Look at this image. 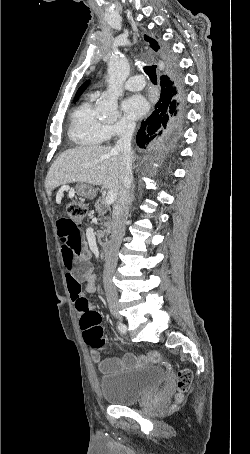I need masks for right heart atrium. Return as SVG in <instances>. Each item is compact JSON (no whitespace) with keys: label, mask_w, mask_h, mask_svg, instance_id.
I'll use <instances>...</instances> for the list:
<instances>
[{"label":"right heart atrium","mask_w":250,"mask_h":454,"mask_svg":"<svg viewBox=\"0 0 250 454\" xmlns=\"http://www.w3.org/2000/svg\"><path fill=\"white\" fill-rule=\"evenodd\" d=\"M110 136H120L124 135L127 132L131 131L133 125L125 120H120L118 122L107 125Z\"/></svg>","instance_id":"obj_1"}]
</instances>
